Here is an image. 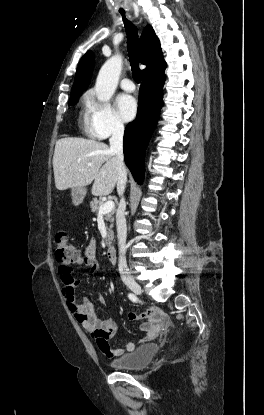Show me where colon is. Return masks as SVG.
<instances>
[{
    "label": "colon",
    "mask_w": 264,
    "mask_h": 415,
    "mask_svg": "<svg viewBox=\"0 0 264 415\" xmlns=\"http://www.w3.org/2000/svg\"><path fill=\"white\" fill-rule=\"evenodd\" d=\"M56 260L60 264L61 269H68L71 263L80 261L83 258L74 247L70 235L65 231H60L56 234ZM67 301L74 300V290L70 289L66 293Z\"/></svg>",
    "instance_id": "5ec220e1"
}]
</instances>
